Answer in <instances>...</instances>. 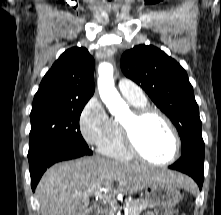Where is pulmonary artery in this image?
Returning a JSON list of instances; mask_svg holds the SVG:
<instances>
[{
    "label": "pulmonary artery",
    "instance_id": "1",
    "mask_svg": "<svg viewBox=\"0 0 221 215\" xmlns=\"http://www.w3.org/2000/svg\"><path fill=\"white\" fill-rule=\"evenodd\" d=\"M120 93L129 100L132 101H144L145 96L142 90L128 79H121L118 83Z\"/></svg>",
    "mask_w": 221,
    "mask_h": 215
}]
</instances>
